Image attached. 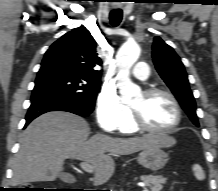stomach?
<instances>
[{
    "instance_id": "0dacf381",
    "label": "stomach",
    "mask_w": 218,
    "mask_h": 191,
    "mask_svg": "<svg viewBox=\"0 0 218 191\" xmlns=\"http://www.w3.org/2000/svg\"><path fill=\"white\" fill-rule=\"evenodd\" d=\"M137 161L149 170L158 171L167 164L168 155L160 146H151L140 152Z\"/></svg>"
}]
</instances>
